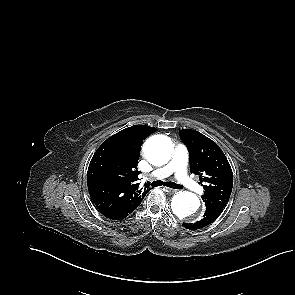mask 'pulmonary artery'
<instances>
[{
    "label": "pulmonary artery",
    "mask_w": 295,
    "mask_h": 295,
    "mask_svg": "<svg viewBox=\"0 0 295 295\" xmlns=\"http://www.w3.org/2000/svg\"><path fill=\"white\" fill-rule=\"evenodd\" d=\"M188 151L183 145H178L175 148L171 161L153 171L152 177L163 179L171 174H175L177 181L185 188L200 193L203 188L195 182L187 173Z\"/></svg>",
    "instance_id": "obj_1"
}]
</instances>
